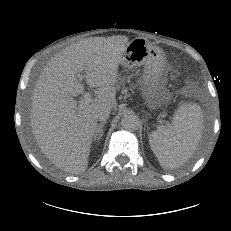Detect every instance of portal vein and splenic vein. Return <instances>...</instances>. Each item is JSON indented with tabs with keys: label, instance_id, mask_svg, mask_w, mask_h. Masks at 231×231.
Returning a JSON list of instances; mask_svg holds the SVG:
<instances>
[{
	"label": "portal vein and splenic vein",
	"instance_id": "1",
	"mask_svg": "<svg viewBox=\"0 0 231 231\" xmlns=\"http://www.w3.org/2000/svg\"><path fill=\"white\" fill-rule=\"evenodd\" d=\"M78 78L81 80L83 78V76L79 74ZM91 101H92L91 94L89 92H86L83 95V97L80 99L79 107L83 108L84 106H86L87 104H89Z\"/></svg>",
	"mask_w": 231,
	"mask_h": 231
}]
</instances>
